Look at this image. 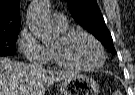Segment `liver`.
Listing matches in <instances>:
<instances>
[{"label": "liver", "instance_id": "liver-1", "mask_svg": "<svg viewBox=\"0 0 135 95\" xmlns=\"http://www.w3.org/2000/svg\"><path fill=\"white\" fill-rule=\"evenodd\" d=\"M73 75L0 57V95H45L46 87Z\"/></svg>", "mask_w": 135, "mask_h": 95}]
</instances>
